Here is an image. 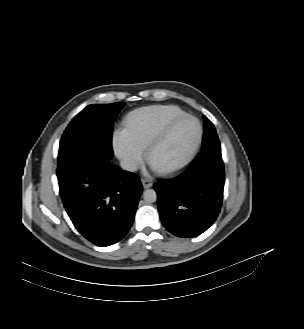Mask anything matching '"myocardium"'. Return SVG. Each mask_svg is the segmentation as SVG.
Segmentation results:
<instances>
[{"instance_id":"obj_1","label":"myocardium","mask_w":304,"mask_h":329,"mask_svg":"<svg viewBox=\"0 0 304 329\" xmlns=\"http://www.w3.org/2000/svg\"><path fill=\"white\" fill-rule=\"evenodd\" d=\"M185 119H193L196 121V123L198 125V136L194 143V146L182 160H180L176 163L170 164V165L154 166L151 162V155H152L153 151L160 144L165 142L168 139V137L170 136V134H171L172 130L175 128V126L178 125L181 121H183ZM202 139H203V126H202L201 121L197 117L190 115V114H184V115L178 116V117L174 118L173 120H171L166 125L164 130L161 133H159L155 138H153L151 140V142L148 144V146L145 149L146 161L153 168V170H155L157 173H160V174L174 173V172L179 171L180 169L184 168L186 165H188L194 159V157L196 156V154L199 151V148L202 143Z\"/></svg>"}]
</instances>
